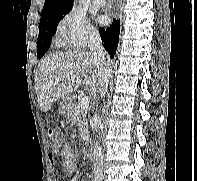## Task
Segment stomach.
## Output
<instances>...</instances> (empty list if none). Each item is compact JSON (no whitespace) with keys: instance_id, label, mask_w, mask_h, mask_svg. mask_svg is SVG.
<instances>
[{"instance_id":"stomach-1","label":"stomach","mask_w":197,"mask_h":181,"mask_svg":"<svg viewBox=\"0 0 197 181\" xmlns=\"http://www.w3.org/2000/svg\"><path fill=\"white\" fill-rule=\"evenodd\" d=\"M72 105L73 103L70 97L62 98L59 102L58 112L60 114L66 115L70 112Z\"/></svg>"}]
</instances>
